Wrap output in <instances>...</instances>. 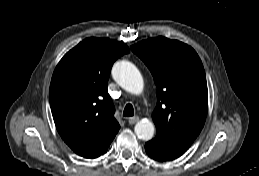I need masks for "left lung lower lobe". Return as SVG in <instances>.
I'll use <instances>...</instances> for the list:
<instances>
[{
    "instance_id": "obj_1",
    "label": "left lung lower lobe",
    "mask_w": 259,
    "mask_h": 176,
    "mask_svg": "<svg viewBox=\"0 0 259 176\" xmlns=\"http://www.w3.org/2000/svg\"><path fill=\"white\" fill-rule=\"evenodd\" d=\"M145 150L147 152V154L153 158L154 160L157 161H167V160H173L172 158L166 157V156H162L158 153H153L152 150H150V147L147 145V143L145 144Z\"/></svg>"
}]
</instances>
